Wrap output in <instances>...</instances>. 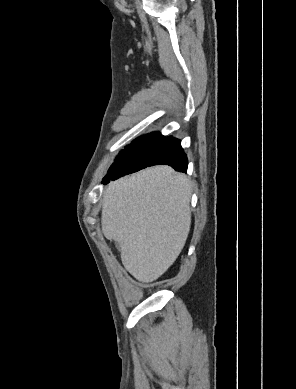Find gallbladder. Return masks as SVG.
<instances>
[{
  "label": "gallbladder",
  "mask_w": 296,
  "mask_h": 389,
  "mask_svg": "<svg viewBox=\"0 0 296 389\" xmlns=\"http://www.w3.org/2000/svg\"><path fill=\"white\" fill-rule=\"evenodd\" d=\"M116 247H117L119 250H120V248H121L120 245H119V243H117V242H116Z\"/></svg>",
  "instance_id": "bac80fb5"
}]
</instances>
